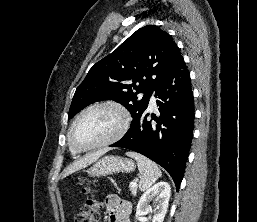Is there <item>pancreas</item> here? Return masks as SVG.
<instances>
[{
  "label": "pancreas",
  "mask_w": 257,
  "mask_h": 222,
  "mask_svg": "<svg viewBox=\"0 0 257 222\" xmlns=\"http://www.w3.org/2000/svg\"><path fill=\"white\" fill-rule=\"evenodd\" d=\"M130 191H131L132 195L135 196L137 193V187H130Z\"/></svg>",
  "instance_id": "obj_1"
}]
</instances>
